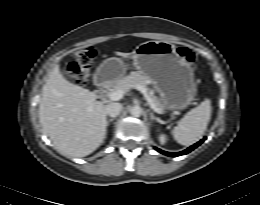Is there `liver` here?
<instances>
[{
  "label": "liver",
  "instance_id": "obj_1",
  "mask_svg": "<svg viewBox=\"0 0 260 205\" xmlns=\"http://www.w3.org/2000/svg\"><path fill=\"white\" fill-rule=\"evenodd\" d=\"M106 106L96 101L93 92L67 81L56 66L42 88L39 120L43 133L61 154L87 156L105 139Z\"/></svg>",
  "mask_w": 260,
  "mask_h": 205
}]
</instances>
